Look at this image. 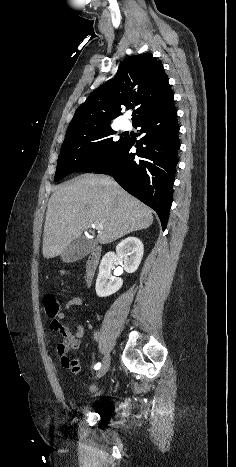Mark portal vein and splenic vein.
Segmentation results:
<instances>
[{
  "instance_id": "18ae733b",
  "label": "portal vein and splenic vein",
  "mask_w": 236,
  "mask_h": 467,
  "mask_svg": "<svg viewBox=\"0 0 236 467\" xmlns=\"http://www.w3.org/2000/svg\"><path fill=\"white\" fill-rule=\"evenodd\" d=\"M95 228H97V229H102V228H103V225H102V224H97V225L95 226Z\"/></svg>"
}]
</instances>
